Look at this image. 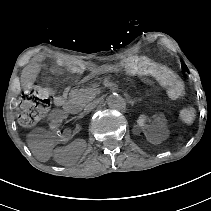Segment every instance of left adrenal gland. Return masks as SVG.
Instances as JSON below:
<instances>
[{
	"label": "left adrenal gland",
	"instance_id": "a2214340",
	"mask_svg": "<svg viewBox=\"0 0 211 211\" xmlns=\"http://www.w3.org/2000/svg\"><path fill=\"white\" fill-rule=\"evenodd\" d=\"M141 100H133V101H131V105L132 106H134V104L136 103V102H140Z\"/></svg>",
	"mask_w": 211,
	"mask_h": 211
}]
</instances>
